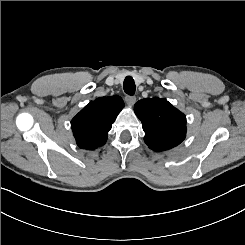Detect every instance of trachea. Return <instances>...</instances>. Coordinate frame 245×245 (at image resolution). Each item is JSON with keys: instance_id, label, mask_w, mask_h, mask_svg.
I'll use <instances>...</instances> for the list:
<instances>
[{"instance_id": "trachea-1", "label": "trachea", "mask_w": 245, "mask_h": 245, "mask_svg": "<svg viewBox=\"0 0 245 245\" xmlns=\"http://www.w3.org/2000/svg\"><path fill=\"white\" fill-rule=\"evenodd\" d=\"M123 89L125 91V93H127L130 96H133L136 90V86L134 83V80L131 76H127L124 79V83H123Z\"/></svg>"}]
</instances>
